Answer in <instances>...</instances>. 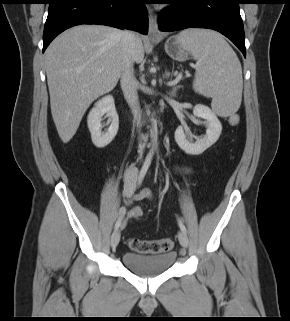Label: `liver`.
<instances>
[{"label": "liver", "instance_id": "1", "mask_svg": "<svg viewBox=\"0 0 290 321\" xmlns=\"http://www.w3.org/2000/svg\"><path fill=\"white\" fill-rule=\"evenodd\" d=\"M119 29L78 25L57 36L45 52V68L53 121L63 143L75 135L82 117L98 97L112 91L124 70ZM144 58L136 36L133 62Z\"/></svg>", "mask_w": 290, "mask_h": 321}]
</instances>
